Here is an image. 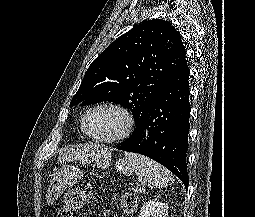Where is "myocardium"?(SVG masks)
<instances>
[{
	"label": "myocardium",
	"instance_id": "1",
	"mask_svg": "<svg viewBox=\"0 0 255 217\" xmlns=\"http://www.w3.org/2000/svg\"><path fill=\"white\" fill-rule=\"evenodd\" d=\"M99 108H109L112 110H115L116 112H118L122 117H123V126L121 128V130L115 134L114 136H110V137H101V136H96L91 134L85 126V122L86 119L88 117V115ZM81 129L83 131V133L85 135H87L89 138L99 141V142H103V143H116L119 142L125 138H127L129 136V134L132 132L134 126H135V117L132 113V111L126 107L125 105L115 102V101H101L98 102L92 106H90L83 114L82 118H81Z\"/></svg>",
	"mask_w": 255,
	"mask_h": 217
}]
</instances>
